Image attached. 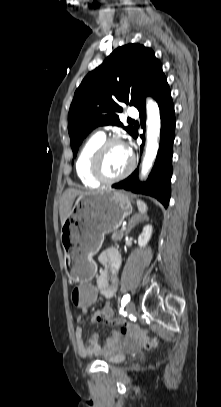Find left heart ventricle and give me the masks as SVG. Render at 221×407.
Returning a JSON list of instances; mask_svg holds the SVG:
<instances>
[{"instance_id": "b2bd125f", "label": "left heart ventricle", "mask_w": 221, "mask_h": 407, "mask_svg": "<svg viewBox=\"0 0 221 407\" xmlns=\"http://www.w3.org/2000/svg\"><path fill=\"white\" fill-rule=\"evenodd\" d=\"M130 163V153L122 144H113L105 152L102 159V172L107 177H115L123 173Z\"/></svg>"}]
</instances>
